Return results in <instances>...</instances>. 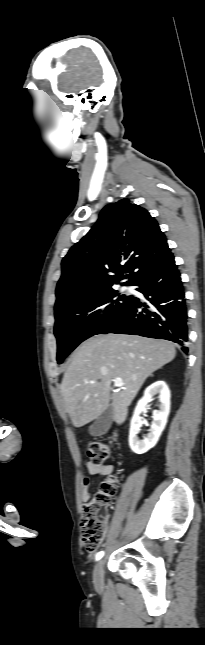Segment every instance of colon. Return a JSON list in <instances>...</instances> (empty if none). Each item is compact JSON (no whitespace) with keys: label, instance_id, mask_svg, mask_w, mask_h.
<instances>
[{"label":"colon","instance_id":"5ec220e1","mask_svg":"<svg viewBox=\"0 0 205 645\" xmlns=\"http://www.w3.org/2000/svg\"><path fill=\"white\" fill-rule=\"evenodd\" d=\"M87 455L91 463L103 465L110 456V446L101 441L88 445ZM116 494V478L104 480L93 496L82 507L81 538L88 552H95L102 544L107 532L108 509Z\"/></svg>","mask_w":205,"mask_h":645}]
</instances>
